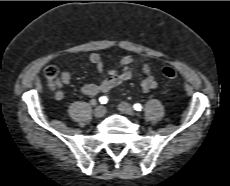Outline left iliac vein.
I'll use <instances>...</instances> for the list:
<instances>
[{
	"instance_id": "4c4485c4",
	"label": "left iliac vein",
	"mask_w": 230,
	"mask_h": 186,
	"mask_svg": "<svg viewBox=\"0 0 230 186\" xmlns=\"http://www.w3.org/2000/svg\"><path fill=\"white\" fill-rule=\"evenodd\" d=\"M118 109L120 110V112H122L124 114L130 115V116L135 115V112H134L132 106L126 102H121L118 105Z\"/></svg>"
}]
</instances>
